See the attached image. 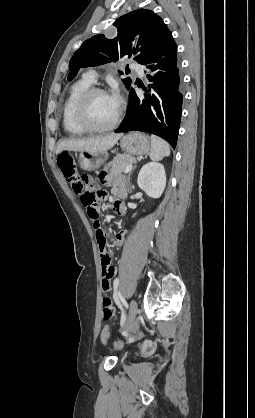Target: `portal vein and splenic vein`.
I'll return each instance as SVG.
<instances>
[{
  "label": "portal vein and splenic vein",
  "mask_w": 255,
  "mask_h": 418,
  "mask_svg": "<svg viewBox=\"0 0 255 418\" xmlns=\"http://www.w3.org/2000/svg\"><path fill=\"white\" fill-rule=\"evenodd\" d=\"M133 165H129L125 170L124 173H128L132 169Z\"/></svg>",
  "instance_id": "portal-vein-and-splenic-vein-1"
}]
</instances>
